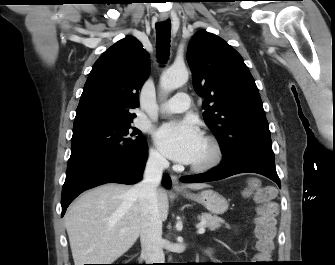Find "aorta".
Here are the masks:
<instances>
[{
	"label": "aorta",
	"instance_id": "1",
	"mask_svg": "<svg viewBox=\"0 0 335 265\" xmlns=\"http://www.w3.org/2000/svg\"><path fill=\"white\" fill-rule=\"evenodd\" d=\"M189 74L185 66L171 67L166 70L160 78V87L164 92H171L188 80Z\"/></svg>",
	"mask_w": 335,
	"mask_h": 265
}]
</instances>
